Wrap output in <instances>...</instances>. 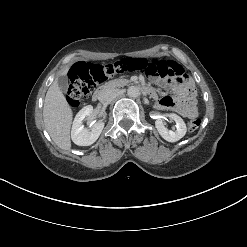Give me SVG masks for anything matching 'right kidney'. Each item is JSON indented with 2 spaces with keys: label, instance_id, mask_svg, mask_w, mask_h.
Here are the masks:
<instances>
[{
  "label": "right kidney",
  "instance_id": "right-kidney-1",
  "mask_svg": "<svg viewBox=\"0 0 247 247\" xmlns=\"http://www.w3.org/2000/svg\"><path fill=\"white\" fill-rule=\"evenodd\" d=\"M93 107L91 105L83 107L75 116L71 130L72 141L79 146H90L100 136L104 122L99 121L93 124L92 129L84 128L83 121H92Z\"/></svg>",
  "mask_w": 247,
  "mask_h": 247
}]
</instances>
